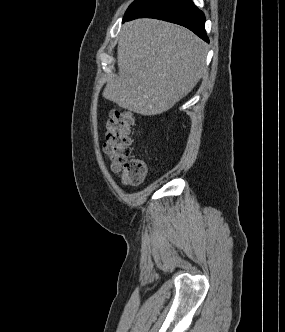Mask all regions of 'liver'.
I'll return each mask as SVG.
<instances>
[{
    "label": "liver",
    "mask_w": 285,
    "mask_h": 332,
    "mask_svg": "<svg viewBox=\"0 0 285 332\" xmlns=\"http://www.w3.org/2000/svg\"><path fill=\"white\" fill-rule=\"evenodd\" d=\"M206 54V44L182 26L156 19L127 22L118 41L119 75L102 95L137 114H161L192 91L205 71Z\"/></svg>",
    "instance_id": "1"
}]
</instances>
